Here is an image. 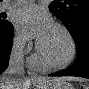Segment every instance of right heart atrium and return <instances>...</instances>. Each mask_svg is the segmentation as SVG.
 I'll return each instance as SVG.
<instances>
[{"label": "right heart atrium", "instance_id": "d8ad5b80", "mask_svg": "<svg viewBox=\"0 0 89 89\" xmlns=\"http://www.w3.org/2000/svg\"><path fill=\"white\" fill-rule=\"evenodd\" d=\"M26 49V39L19 32H16L13 37V51L17 54H22L25 52Z\"/></svg>", "mask_w": 89, "mask_h": 89}]
</instances>
